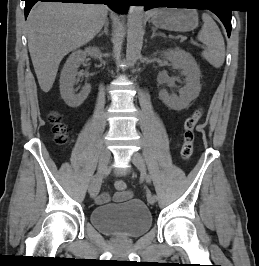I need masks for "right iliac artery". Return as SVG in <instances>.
I'll return each mask as SVG.
<instances>
[{"mask_svg":"<svg viewBox=\"0 0 259 266\" xmlns=\"http://www.w3.org/2000/svg\"><path fill=\"white\" fill-rule=\"evenodd\" d=\"M98 174H95L92 178V181L90 182V185H88L87 191H91L92 187L95 185V180L97 179Z\"/></svg>","mask_w":259,"mask_h":266,"instance_id":"obj_1","label":"right iliac artery"}]
</instances>
